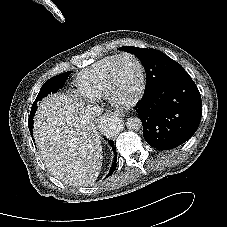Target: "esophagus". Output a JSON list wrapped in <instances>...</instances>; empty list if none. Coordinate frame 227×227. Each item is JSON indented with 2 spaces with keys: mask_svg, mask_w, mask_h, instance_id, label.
Returning a JSON list of instances; mask_svg holds the SVG:
<instances>
[{
  "mask_svg": "<svg viewBox=\"0 0 227 227\" xmlns=\"http://www.w3.org/2000/svg\"><path fill=\"white\" fill-rule=\"evenodd\" d=\"M104 117H115V118H119L120 115L117 112H109V113H106Z\"/></svg>",
  "mask_w": 227,
  "mask_h": 227,
  "instance_id": "obj_1",
  "label": "esophagus"
}]
</instances>
